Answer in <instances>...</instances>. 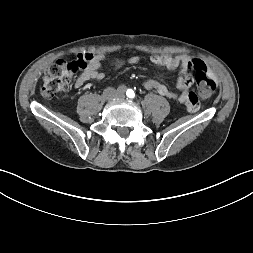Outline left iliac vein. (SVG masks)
I'll list each match as a JSON object with an SVG mask.
<instances>
[{
  "mask_svg": "<svg viewBox=\"0 0 253 253\" xmlns=\"http://www.w3.org/2000/svg\"><path fill=\"white\" fill-rule=\"evenodd\" d=\"M118 97H124V94L123 93H117L116 94Z\"/></svg>",
  "mask_w": 253,
  "mask_h": 253,
  "instance_id": "left-iliac-vein-1",
  "label": "left iliac vein"
}]
</instances>
